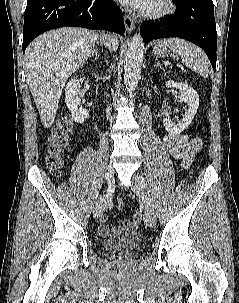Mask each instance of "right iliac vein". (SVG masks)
<instances>
[{
  "instance_id": "63e3f726",
  "label": "right iliac vein",
  "mask_w": 239,
  "mask_h": 303,
  "mask_svg": "<svg viewBox=\"0 0 239 303\" xmlns=\"http://www.w3.org/2000/svg\"><path fill=\"white\" fill-rule=\"evenodd\" d=\"M113 173V174H111ZM104 177L106 181V185L109 187L111 184L114 183V170L111 165H108L104 171ZM113 181V182H112ZM106 195L100 197L98 202L95 205L94 211H93V216L95 219L100 218L106 207H107V199L105 197Z\"/></svg>"
}]
</instances>
